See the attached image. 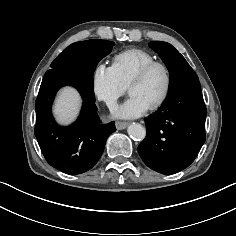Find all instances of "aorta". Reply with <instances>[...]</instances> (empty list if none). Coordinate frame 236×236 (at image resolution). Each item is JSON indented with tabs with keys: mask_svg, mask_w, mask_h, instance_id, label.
Masks as SVG:
<instances>
[{
	"mask_svg": "<svg viewBox=\"0 0 236 236\" xmlns=\"http://www.w3.org/2000/svg\"><path fill=\"white\" fill-rule=\"evenodd\" d=\"M127 132L132 139L137 141H142L146 136L145 128L139 123L129 125Z\"/></svg>",
	"mask_w": 236,
	"mask_h": 236,
	"instance_id": "762f6f07",
	"label": "aorta"
}]
</instances>
